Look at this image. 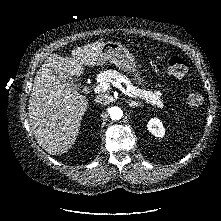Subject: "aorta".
<instances>
[{"label":"aorta","mask_w":221,"mask_h":221,"mask_svg":"<svg viewBox=\"0 0 221 221\" xmlns=\"http://www.w3.org/2000/svg\"><path fill=\"white\" fill-rule=\"evenodd\" d=\"M109 114L112 120H119L122 118L123 112L119 107H111L109 109Z\"/></svg>","instance_id":"obj_1"}]
</instances>
